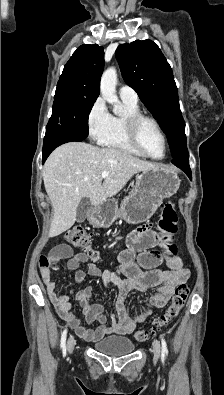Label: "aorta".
I'll return each mask as SVG.
<instances>
[{
    "label": "aorta",
    "mask_w": 224,
    "mask_h": 395,
    "mask_svg": "<svg viewBox=\"0 0 224 395\" xmlns=\"http://www.w3.org/2000/svg\"><path fill=\"white\" fill-rule=\"evenodd\" d=\"M117 72L114 67H110L104 71L100 82V92L102 97L111 105L113 112L121 111V105L116 95Z\"/></svg>",
    "instance_id": "1"
}]
</instances>
